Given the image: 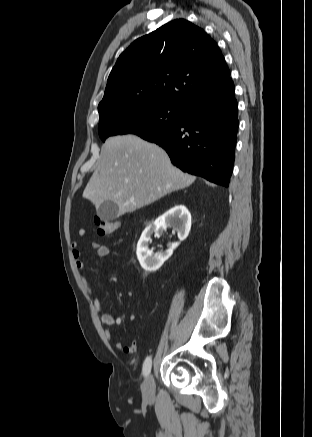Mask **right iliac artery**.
<instances>
[{
    "mask_svg": "<svg viewBox=\"0 0 312 437\" xmlns=\"http://www.w3.org/2000/svg\"><path fill=\"white\" fill-rule=\"evenodd\" d=\"M151 366H152V359L151 357H147L143 363V375L146 377L151 370Z\"/></svg>",
    "mask_w": 312,
    "mask_h": 437,
    "instance_id": "1",
    "label": "right iliac artery"
}]
</instances>
